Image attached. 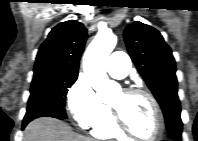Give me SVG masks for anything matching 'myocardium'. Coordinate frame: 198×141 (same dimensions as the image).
Segmentation results:
<instances>
[{"mask_svg":"<svg viewBox=\"0 0 198 141\" xmlns=\"http://www.w3.org/2000/svg\"><path fill=\"white\" fill-rule=\"evenodd\" d=\"M123 93L129 94V95L138 94V95H143L148 98V100L150 101L153 107V111L155 115L156 131L151 138L144 139V138L139 137L127 126L120 112L110 105V108L112 110V118L117 129L124 135H127L137 140L156 141L157 139H159V137L161 136L164 130V120H163L161 108L156 98L149 91L143 88H139V87L126 88L123 90Z\"/></svg>","mask_w":198,"mask_h":141,"instance_id":"1","label":"myocardium"}]
</instances>
